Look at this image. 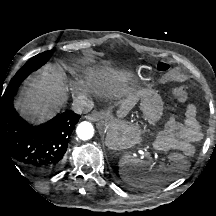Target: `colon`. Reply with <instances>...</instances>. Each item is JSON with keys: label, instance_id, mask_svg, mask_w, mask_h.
<instances>
[{"label": "colon", "instance_id": "5ec220e1", "mask_svg": "<svg viewBox=\"0 0 216 216\" xmlns=\"http://www.w3.org/2000/svg\"><path fill=\"white\" fill-rule=\"evenodd\" d=\"M158 69L161 72H165L169 69V65L167 63H160ZM173 94L179 102H186L189 97L188 87L186 85H178L173 89Z\"/></svg>", "mask_w": 216, "mask_h": 216}]
</instances>
